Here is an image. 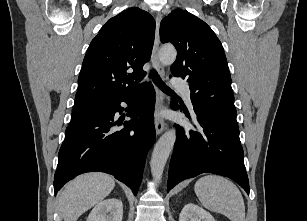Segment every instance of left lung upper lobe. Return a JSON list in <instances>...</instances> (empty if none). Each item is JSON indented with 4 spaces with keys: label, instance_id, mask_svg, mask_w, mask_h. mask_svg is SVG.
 I'll return each mask as SVG.
<instances>
[{
    "label": "left lung upper lobe",
    "instance_id": "5c2ea615",
    "mask_svg": "<svg viewBox=\"0 0 307 221\" xmlns=\"http://www.w3.org/2000/svg\"><path fill=\"white\" fill-rule=\"evenodd\" d=\"M160 39L177 49L171 73L188 78L193 106L237 125L227 59L212 29L187 11L174 10L161 21Z\"/></svg>",
    "mask_w": 307,
    "mask_h": 221
}]
</instances>
